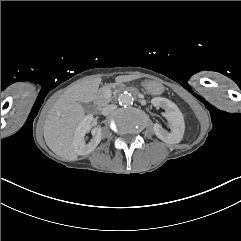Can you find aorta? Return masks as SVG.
<instances>
[{"label":"aorta","mask_w":241,"mask_h":241,"mask_svg":"<svg viewBox=\"0 0 241 241\" xmlns=\"http://www.w3.org/2000/svg\"><path fill=\"white\" fill-rule=\"evenodd\" d=\"M118 101L121 106H129L133 104L134 99L130 93L125 92L119 96Z\"/></svg>","instance_id":"762f6f07"}]
</instances>
